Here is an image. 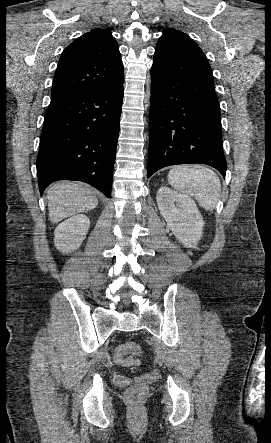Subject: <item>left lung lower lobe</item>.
<instances>
[{
    "label": "left lung lower lobe",
    "instance_id": "obj_1",
    "mask_svg": "<svg viewBox=\"0 0 271 443\" xmlns=\"http://www.w3.org/2000/svg\"><path fill=\"white\" fill-rule=\"evenodd\" d=\"M151 82L148 178L189 163L210 165L225 177L220 107L207 59L156 48Z\"/></svg>",
    "mask_w": 271,
    "mask_h": 443
}]
</instances>
